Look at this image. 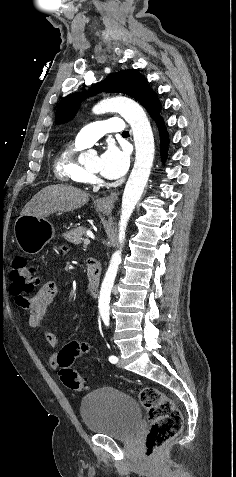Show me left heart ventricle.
Listing matches in <instances>:
<instances>
[{"label":"left heart ventricle","instance_id":"left-heart-ventricle-1","mask_svg":"<svg viewBox=\"0 0 236 477\" xmlns=\"http://www.w3.org/2000/svg\"><path fill=\"white\" fill-rule=\"evenodd\" d=\"M89 168L93 171L99 172L100 170V158L98 156L94 157L89 165Z\"/></svg>","mask_w":236,"mask_h":477}]
</instances>
